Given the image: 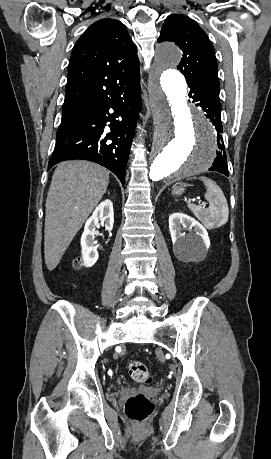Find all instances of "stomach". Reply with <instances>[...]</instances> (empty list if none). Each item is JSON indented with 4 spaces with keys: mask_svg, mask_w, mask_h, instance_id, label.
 Returning <instances> with one entry per match:
<instances>
[{
    "mask_svg": "<svg viewBox=\"0 0 271 459\" xmlns=\"http://www.w3.org/2000/svg\"><path fill=\"white\" fill-rule=\"evenodd\" d=\"M183 192H184V188H183L182 184H180V186H174V188L172 190L173 196H181V194H183Z\"/></svg>",
    "mask_w": 271,
    "mask_h": 459,
    "instance_id": "stomach-1",
    "label": "stomach"
}]
</instances>
